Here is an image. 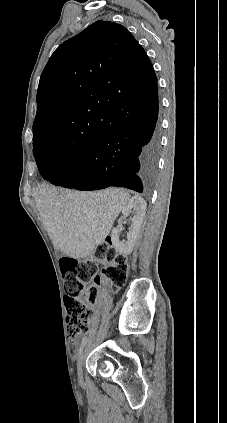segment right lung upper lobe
<instances>
[{
  "mask_svg": "<svg viewBox=\"0 0 227 423\" xmlns=\"http://www.w3.org/2000/svg\"><path fill=\"white\" fill-rule=\"evenodd\" d=\"M157 89L153 66L122 25L97 21L62 43L40 77L33 142L58 138L74 148L91 146L124 122L108 114L116 104L148 99Z\"/></svg>",
  "mask_w": 227,
  "mask_h": 423,
  "instance_id": "cb5924a9",
  "label": "right lung upper lobe"
}]
</instances>
